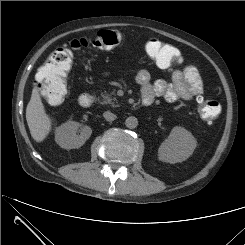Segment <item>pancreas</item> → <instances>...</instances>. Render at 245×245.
I'll list each match as a JSON object with an SVG mask.
<instances>
[{"instance_id":"obj_1","label":"pancreas","mask_w":245,"mask_h":245,"mask_svg":"<svg viewBox=\"0 0 245 245\" xmlns=\"http://www.w3.org/2000/svg\"><path fill=\"white\" fill-rule=\"evenodd\" d=\"M115 94L114 91L111 93H107L106 91L104 93H101L102 101H100L101 104H111L113 107H117L118 105L115 104V101L117 100L113 95Z\"/></svg>"}]
</instances>
